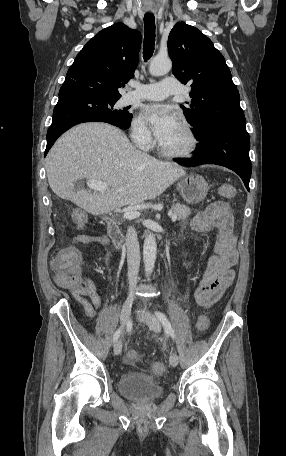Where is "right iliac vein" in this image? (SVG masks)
I'll list each match as a JSON object with an SVG mask.
<instances>
[{
    "instance_id": "obj_1",
    "label": "right iliac vein",
    "mask_w": 286,
    "mask_h": 456,
    "mask_svg": "<svg viewBox=\"0 0 286 456\" xmlns=\"http://www.w3.org/2000/svg\"><path fill=\"white\" fill-rule=\"evenodd\" d=\"M133 305V299L132 298H127L122 306L121 310V315H120V323H121V328L123 329L130 318L131 314V309ZM122 351V341L121 339L117 340L115 345H114V353L115 355H119Z\"/></svg>"
}]
</instances>
